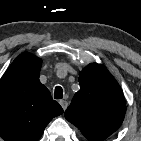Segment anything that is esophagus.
Here are the masks:
<instances>
[{
    "instance_id": "34e87169",
    "label": "esophagus",
    "mask_w": 141,
    "mask_h": 141,
    "mask_svg": "<svg viewBox=\"0 0 141 141\" xmlns=\"http://www.w3.org/2000/svg\"><path fill=\"white\" fill-rule=\"evenodd\" d=\"M59 103H60L61 107L63 108V110L65 111L68 107V102L65 100H60Z\"/></svg>"
}]
</instances>
